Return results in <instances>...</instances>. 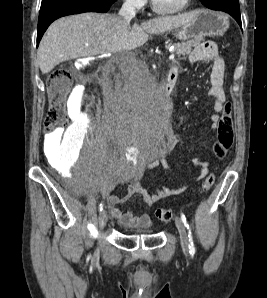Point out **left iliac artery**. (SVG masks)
I'll return each instance as SVG.
<instances>
[{
    "mask_svg": "<svg viewBox=\"0 0 267 298\" xmlns=\"http://www.w3.org/2000/svg\"><path fill=\"white\" fill-rule=\"evenodd\" d=\"M181 219H182L183 223L185 224V226L187 227V229L189 230V233H188L189 252H190V254L194 255L196 250H195V246H194V242H193V238H192V232H191V229L187 223V219L183 213H181Z\"/></svg>",
    "mask_w": 267,
    "mask_h": 298,
    "instance_id": "left-iliac-artery-1",
    "label": "left iliac artery"
}]
</instances>
